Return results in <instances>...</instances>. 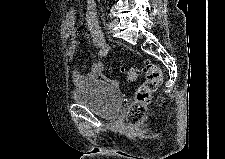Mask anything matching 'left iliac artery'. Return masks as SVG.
<instances>
[{"label":"left iliac artery","mask_w":225,"mask_h":159,"mask_svg":"<svg viewBox=\"0 0 225 159\" xmlns=\"http://www.w3.org/2000/svg\"><path fill=\"white\" fill-rule=\"evenodd\" d=\"M109 24H110V22H107V23H106V26H109Z\"/></svg>","instance_id":"1"}]
</instances>
